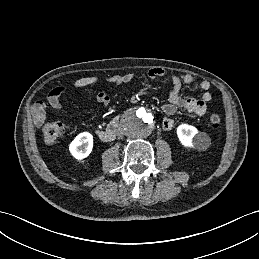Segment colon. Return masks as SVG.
Instances as JSON below:
<instances>
[{
  "label": "colon",
  "instance_id": "obj_1",
  "mask_svg": "<svg viewBox=\"0 0 259 259\" xmlns=\"http://www.w3.org/2000/svg\"><path fill=\"white\" fill-rule=\"evenodd\" d=\"M211 127L217 128L221 123V118L216 113H211L208 118ZM43 140L48 145L57 143L66 131V125L60 121L46 122L42 128Z\"/></svg>",
  "mask_w": 259,
  "mask_h": 259
}]
</instances>
